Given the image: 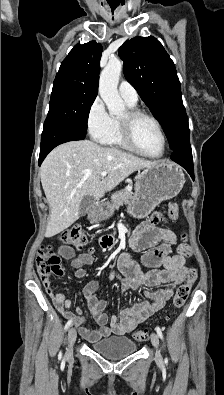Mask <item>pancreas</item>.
Wrapping results in <instances>:
<instances>
[{
	"label": "pancreas",
	"instance_id": "obj_1",
	"mask_svg": "<svg viewBox=\"0 0 224 395\" xmlns=\"http://www.w3.org/2000/svg\"><path fill=\"white\" fill-rule=\"evenodd\" d=\"M132 200V191L128 188L122 189L111 195V202L108 203L110 212L118 210L123 204H128Z\"/></svg>",
	"mask_w": 224,
	"mask_h": 395
}]
</instances>
